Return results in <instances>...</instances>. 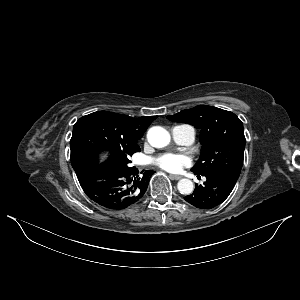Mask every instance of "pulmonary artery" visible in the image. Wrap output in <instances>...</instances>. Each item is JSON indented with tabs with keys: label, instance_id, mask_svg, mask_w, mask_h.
<instances>
[{
	"label": "pulmonary artery",
	"instance_id": "1",
	"mask_svg": "<svg viewBox=\"0 0 300 300\" xmlns=\"http://www.w3.org/2000/svg\"><path fill=\"white\" fill-rule=\"evenodd\" d=\"M173 140L182 145L191 144L195 139L194 129L189 125H177L171 130Z\"/></svg>",
	"mask_w": 300,
	"mask_h": 300
}]
</instances>
